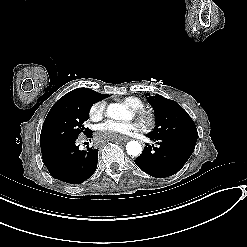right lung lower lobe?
Here are the masks:
<instances>
[{
	"instance_id": "1",
	"label": "right lung lower lobe",
	"mask_w": 247,
	"mask_h": 247,
	"mask_svg": "<svg viewBox=\"0 0 247 247\" xmlns=\"http://www.w3.org/2000/svg\"><path fill=\"white\" fill-rule=\"evenodd\" d=\"M92 138V133L87 135ZM42 159L49 173L60 181L80 184L97 168L98 149L79 150L76 140H66L41 146Z\"/></svg>"
}]
</instances>
